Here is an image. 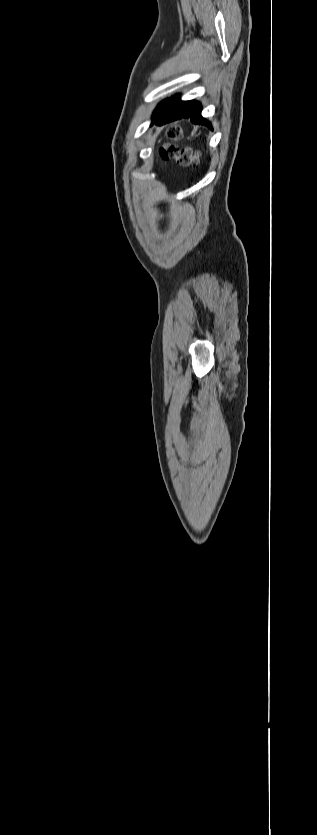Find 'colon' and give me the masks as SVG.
<instances>
[{"label": "colon", "instance_id": "colon-1", "mask_svg": "<svg viewBox=\"0 0 317 835\" xmlns=\"http://www.w3.org/2000/svg\"><path fill=\"white\" fill-rule=\"evenodd\" d=\"M182 136L179 128L168 130V141L160 148V156L164 160H174L179 165H196L200 160V153L192 148H180L176 141Z\"/></svg>", "mask_w": 317, "mask_h": 835}]
</instances>
